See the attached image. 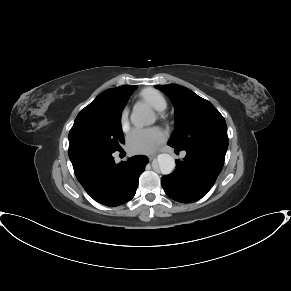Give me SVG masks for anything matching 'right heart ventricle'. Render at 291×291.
Masks as SVG:
<instances>
[{"label": "right heart ventricle", "mask_w": 291, "mask_h": 291, "mask_svg": "<svg viewBox=\"0 0 291 291\" xmlns=\"http://www.w3.org/2000/svg\"><path fill=\"white\" fill-rule=\"evenodd\" d=\"M140 97L148 102L155 110L162 111L166 108V101L163 95L152 88L143 89L140 93Z\"/></svg>", "instance_id": "e07e8e85"}]
</instances>
